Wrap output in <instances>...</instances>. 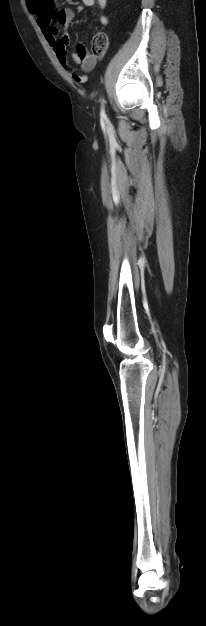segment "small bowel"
<instances>
[{
	"instance_id": "obj_1",
	"label": "small bowel",
	"mask_w": 206,
	"mask_h": 626,
	"mask_svg": "<svg viewBox=\"0 0 206 626\" xmlns=\"http://www.w3.org/2000/svg\"><path fill=\"white\" fill-rule=\"evenodd\" d=\"M82 2L85 6L97 5L100 9H104L107 5V0H82ZM27 3L37 16L38 25L62 67L76 82H83L81 76L85 75L79 73L69 62L67 50L70 38L67 34H60L58 31V28L65 29L69 25L74 18V12L70 8L55 11L53 0H27ZM97 19L101 25H107L109 22L108 17L103 14H99ZM72 58L80 66L82 72L93 70L97 61L96 57L81 44L72 53Z\"/></svg>"
}]
</instances>
